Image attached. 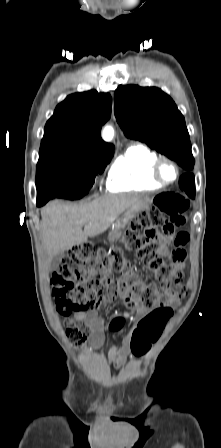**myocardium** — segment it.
<instances>
[{
  "instance_id": "f54148a6",
  "label": "myocardium",
  "mask_w": 221,
  "mask_h": 448,
  "mask_svg": "<svg viewBox=\"0 0 221 448\" xmlns=\"http://www.w3.org/2000/svg\"><path fill=\"white\" fill-rule=\"evenodd\" d=\"M164 164H169L170 166H172V168L175 171V176L171 181L165 180L162 176L161 171H162V167ZM179 174H180V171H179L178 165L173 160L166 158V157L158 158L152 166V171H151L152 178L158 184H160L162 186H169V185L175 183L179 178Z\"/></svg>"
}]
</instances>
